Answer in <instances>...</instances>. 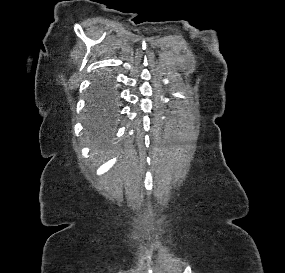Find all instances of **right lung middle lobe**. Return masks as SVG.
<instances>
[{
  "mask_svg": "<svg viewBox=\"0 0 285 273\" xmlns=\"http://www.w3.org/2000/svg\"><path fill=\"white\" fill-rule=\"evenodd\" d=\"M112 98L111 78L105 75L100 76L93 83L88 102L90 108L89 127L92 130L106 127L116 114L115 109L111 106Z\"/></svg>",
  "mask_w": 285,
  "mask_h": 273,
  "instance_id": "right-lung-middle-lobe-1",
  "label": "right lung middle lobe"
}]
</instances>
